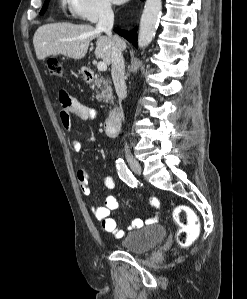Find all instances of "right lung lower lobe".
<instances>
[{"label": "right lung lower lobe", "mask_w": 247, "mask_h": 299, "mask_svg": "<svg viewBox=\"0 0 247 299\" xmlns=\"http://www.w3.org/2000/svg\"><path fill=\"white\" fill-rule=\"evenodd\" d=\"M114 31L117 34H119L120 36H122L125 39H127L129 42H131L137 48V32H136V28L133 29L132 31H125V30H121L119 28H115Z\"/></svg>", "instance_id": "1"}]
</instances>
